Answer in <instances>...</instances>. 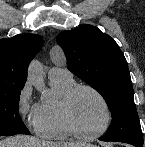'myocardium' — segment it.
Listing matches in <instances>:
<instances>
[{
	"label": "myocardium",
	"instance_id": "1",
	"mask_svg": "<svg viewBox=\"0 0 145 147\" xmlns=\"http://www.w3.org/2000/svg\"><path fill=\"white\" fill-rule=\"evenodd\" d=\"M82 90H88L92 92L94 95L97 96V98L101 101L105 113H106V121L104 126L95 132H87L83 130L78 123L75 120L74 114H73V101L77 94L82 91ZM62 114L63 118L70 128V130L76 135L84 139H93L96 137L101 136L104 134L110 127L111 122H112V111L111 107L105 98V96L95 87L88 85V84H77L71 90L67 93V95L64 97L62 101Z\"/></svg>",
	"mask_w": 145,
	"mask_h": 147
}]
</instances>
